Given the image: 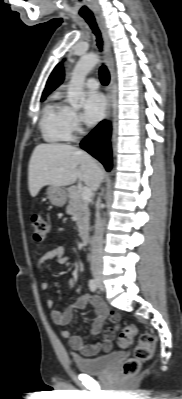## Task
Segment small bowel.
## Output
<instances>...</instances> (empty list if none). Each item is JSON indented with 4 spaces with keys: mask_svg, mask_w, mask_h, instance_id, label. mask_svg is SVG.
<instances>
[{
    "mask_svg": "<svg viewBox=\"0 0 182 399\" xmlns=\"http://www.w3.org/2000/svg\"><path fill=\"white\" fill-rule=\"evenodd\" d=\"M51 260H55L59 264H67L71 261V257L65 254V249L62 246L47 250L42 252L37 259V266L42 269L44 265ZM49 286L46 280H42L40 287L42 289H47ZM88 302H91L95 308L96 319L94 320L91 327V334L98 335L101 333L103 328V323L106 319H109L112 323H117L120 320L119 314L116 312H111L107 307L94 296L89 294L81 295L72 305L68 306L65 310H52L51 319L59 326H66L74 317L76 311L83 309ZM46 305L52 308L54 305V300L52 298L46 299ZM63 338L67 339L70 347L80 352L84 356H95L101 350L109 351L113 346V341L117 335L115 329H107L104 332V339L101 343L86 344L83 339L77 335H74L71 331L63 329L61 331Z\"/></svg>",
    "mask_w": 182,
    "mask_h": 399,
    "instance_id": "obj_1",
    "label": "small bowel"
}]
</instances>
